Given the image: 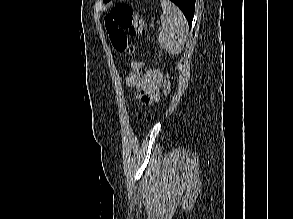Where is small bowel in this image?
Returning a JSON list of instances; mask_svg holds the SVG:
<instances>
[{"mask_svg":"<svg viewBox=\"0 0 293 219\" xmlns=\"http://www.w3.org/2000/svg\"><path fill=\"white\" fill-rule=\"evenodd\" d=\"M127 84L137 91V98L144 104L157 102L160 99L162 73L158 69H151L146 73L130 74Z\"/></svg>","mask_w":293,"mask_h":219,"instance_id":"obj_1","label":"small bowel"}]
</instances>
